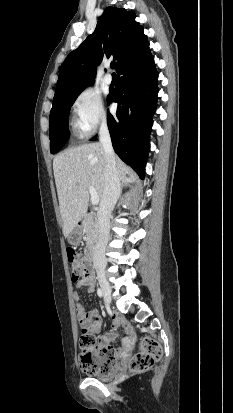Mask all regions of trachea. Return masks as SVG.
Instances as JSON below:
<instances>
[{
	"instance_id": "trachea-1",
	"label": "trachea",
	"mask_w": 233,
	"mask_h": 413,
	"mask_svg": "<svg viewBox=\"0 0 233 413\" xmlns=\"http://www.w3.org/2000/svg\"><path fill=\"white\" fill-rule=\"evenodd\" d=\"M115 67V62L111 63V68L113 69Z\"/></svg>"
}]
</instances>
